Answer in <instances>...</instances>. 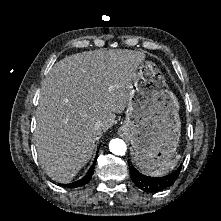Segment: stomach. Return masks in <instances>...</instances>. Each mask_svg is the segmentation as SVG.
<instances>
[{
  "label": "stomach",
  "mask_w": 221,
  "mask_h": 221,
  "mask_svg": "<svg viewBox=\"0 0 221 221\" xmlns=\"http://www.w3.org/2000/svg\"><path fill=\"white\" fill-rule=\"evenodd\" d=\"M179 107L158 66L142 61L135 71L126 118L119 129L131 142L134 161L142 171L157 169L174 156L181 135Z\"/></svg>",
  "instance_id": "0dacf381"
}]
</instances>
